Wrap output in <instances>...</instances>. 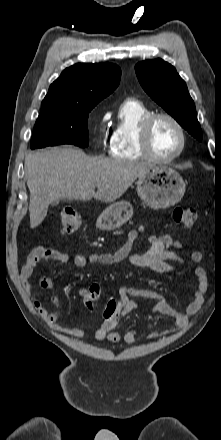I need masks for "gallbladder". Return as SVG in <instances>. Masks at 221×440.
<instances>
[{"mask_svg":"<svg viewBox=\"0 0 221 440\" xmlns=\"http://www.w3.org/2000/svg\"><path fill=\"white\" fill-rule=\"evenodd\" d=\"M59 203V200H54L53 202H51L52 206H56Z\"/></svg>","mask_w":221,"mask_h":440,"instance_id":"obj_1","label":"gallbladder"}]
</instances>
